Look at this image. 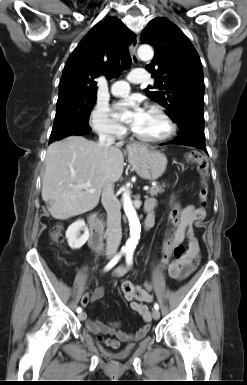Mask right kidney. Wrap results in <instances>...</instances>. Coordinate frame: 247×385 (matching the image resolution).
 Masks as SVG:
<instances>
[{
	"label": "right kidney",
	"mask_w": 247,
	"mask_h": 385,
	"mask_svg": "<svg viewBox=\"0 0 247 385\" xmlns=\"http://www.w3.org/2000/svg\"><path fill=\"white\" fill-rule=\"evenodd\" d=\"M80 231L84 232L81 236ZM66 238L71 249H80L89 238V231L85 221L80 219L72 223L66 231Z\"/></svg>",
	"instance_id": "ca27d5eb"
}]
</instances>
